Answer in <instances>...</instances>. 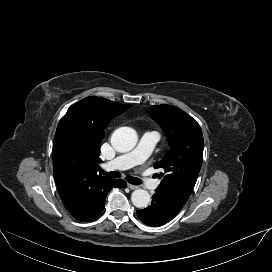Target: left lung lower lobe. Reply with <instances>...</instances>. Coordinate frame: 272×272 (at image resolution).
Instances as JSON below:
<instances>
[{"label": "left lung lower lobe", "mask_w": 272, "mask_h": 272, "mask_svg": "<svg viewBox=\"0 0 272 272\" xmlns=\"http://www.w3.org/2000/svg\"><path fill=\"white\" fill-rule=\"evenodd\" d=\"M180 209L167 199L154 194L151 205L137 210V216L144 224L158 227L173 219Z\"/></svg>", "instance_id": "obj_1"}]
</instances>
